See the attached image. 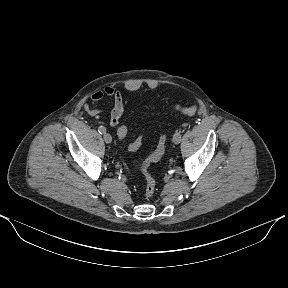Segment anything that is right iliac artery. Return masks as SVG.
Here are the masks:
<instances>
[{"label":"right iliac artery","mask_w":288,"mask_h":288,"mask_svg":"<svg viewBox=\"0 0 288 288\" xmlns=\"http://www.w3.org/2000/svg\"><path fill=\"white\" fill-rule=\"evenodd\" d=\"M98 132H99L100 134H105V133H106V128H105L104 126H100V127L98 128Z\"/></svg>","instance_id":"obj_1"}]
</instances>
